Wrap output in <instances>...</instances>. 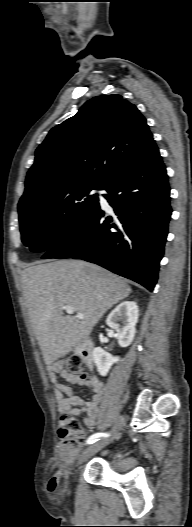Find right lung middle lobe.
<instances>
[{"label": "right lung middle lobe", "mask_w": 192, "mask_h": 527, "mask_svg": "<svg viewBox=\"0 0 192 527\" xmlns=\"http://www.w3.org/2000/svg\"><path fill=\"white\" fill-rule=\"evenodd\" d=\"M102 185L82 184L52 197L18 206L22 242L33 252H46L73 233L98 203L92 189Z\"/></svg>", "instance_id": "dd1d6c3e"}]
</instances>
